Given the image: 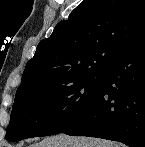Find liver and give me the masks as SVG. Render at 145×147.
<instances>
[{
	"instance_id": "liver-1",
	"label": "liver",
	"mask_w": 145,
	"mask_h": 147,
	"mask_svg": "<svg viewBox=\"0 0 145 147\" xmlns=\"http://www.w3.org/2000/svg\"><path fill=\"white\" fill-rule=\"evenodd\" d=\"M30 147H121V145L104 139L71 137L60 134L47 137L39 143L32 144Z\"/></svg>"
}]
</instances>
